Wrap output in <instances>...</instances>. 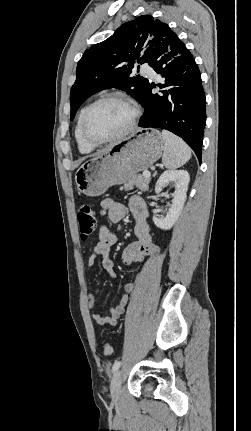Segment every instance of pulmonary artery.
<instances>
[{
  "label": "pulmonary artery",
  "instance_id": "e3ab8cb5",
  "mask_svg": "<svg viewBox=\"0 0 251 431\" xmlns=\"http://www.w3.org/2000/svg\"><path fill=\"white\" fill-rule=\"evenodd\" d=\"M141 72L150 78L156 77V72L149 65H142Z\"/></svg>",
  "mask_w": 251,
  "mask_h": 431
}]
</instances>
